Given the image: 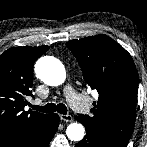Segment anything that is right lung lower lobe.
<instances>
[{"label":"right lung lower lobe","mask_w":147,"mask_h":147,"mask_svg":"<svg viewBox=\"0 0 147 147\" xmlns=\"http://www.w3.org/2000/svg\"><path fill=\"white\" fill-rule=\"evenodd\" d=\"M59 125V116L50 114L48 121L38 130L8 147H48Z\"/></svg>","instance_id":"obj_1"}]
</instances>
